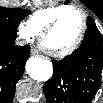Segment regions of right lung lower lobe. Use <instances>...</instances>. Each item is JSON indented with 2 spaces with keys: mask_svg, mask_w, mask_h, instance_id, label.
<instances>
[{
  "mask_svg": "<svg viewBox=\"0 0 103 103\" xmlns=\"http://www.w3.org/2000/svg\"><path fill=\"white\" fill-rule=\"evenodd\" d=\"M16 38L0 34V103H8L15 95V85L22 77L30 46H16Z\"/></svg>",
  "mask_w": 103,
  "mask_h": 103,
  "instance_id": "right-lung-lower-lobe-1",
  "label": "right lung lower lobe"
}]
</instances>
